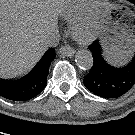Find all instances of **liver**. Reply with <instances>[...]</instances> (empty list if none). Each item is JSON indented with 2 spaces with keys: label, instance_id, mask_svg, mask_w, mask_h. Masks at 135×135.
Masks as SVG:
<instances>
[{
  "label": "liver",
  "instance_id": "6515ba94",
  "mask_svg": "<svg viewBox=\"0 0 135 135\" xmlns=\"http://www.w3.org/2000/svg\"><path fill=\"white\" fill-rule=\"evenodd\" d=\"M64 0H0V78L30 70L46 51Z\"/></svg>",
  "mask_w": 135,
  "mask_h": 135
}]
</instances>
